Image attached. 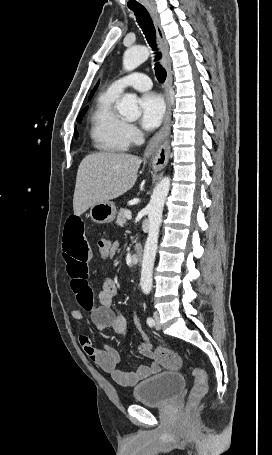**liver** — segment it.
<instances>
[{"label": "liver", "instance_id": "obj_1", "mask_svg": "<svg viewBox=\"0 0 272 455\" xmlns=\"http://www.w3.org/2000/svg\"><path fill=\"white\" fill-rule=\"evenodd\" d=\"M142 160L127 153L98 152L87 155L79 165L73 197L76 216L95 204L118 198L137 180Z\"/></svg>", "mask_w": 272, "mask_h": 455}]
</instances>
